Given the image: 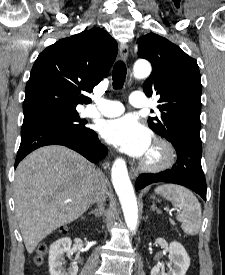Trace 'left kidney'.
<instances>
[{"instance_id": "5707ae66", "label": "left kidney", "mask_w": 225, "mask_h": 275, "mask_svg": "<svg viewBox=\"0 0 225 275\" xmlns=\"http://www.w3.org/2000/svg\"><path fill=\"white\" fill-rule=\"evenodd\" d=\"M169 260L173 264V268L165 273L161 263L154 266L151 270V275H185L189 265L190 258L185 248L179 242H171L169 245Z\"/></svg>"}]
</instances>
